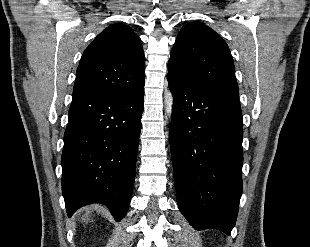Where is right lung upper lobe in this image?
Segmentation results:
<instances>
[{
    "label": "right lung upper lobe",
    "instance_id": "obj_1",
    "mask_svg": "<svg viewBox=\"0 0 310 247\" xmlns=\"http://www.w3.org/2000/svg\"><path fill=\"white\" fill-rule=\"evenodd\" d=\"M144 69L140 38L129 26L110 25L82 55L73 100L135 91L144 85Z\"/></svg>",
    "mask_w": 310,
    "mask_h": 247
}]
</instances>
